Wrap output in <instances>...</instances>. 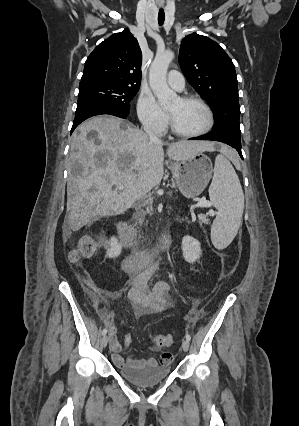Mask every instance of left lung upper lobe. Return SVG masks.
<instances>
[{"label": "left lung upper lobe", "instance_id": "obj_1", "mask_svg": "<svg viewBox=\"0 0 299 426\" xmlns=\"http://www.w3.org/2000/svg\"><path fill=\"white\" fill-rule=\"evenodd\" d=\"M179 64L187 81L212 107L215 125L210 133L241 141L236 72L222 47L192 33L182 40Z\"/></svg>", "mask_w": 299, "mask_h": 426}]
</instances>
